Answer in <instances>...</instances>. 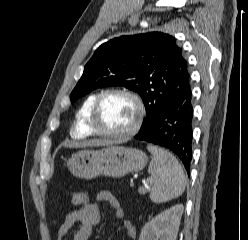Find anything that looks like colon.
Returning <instances> with one entry per match:
<instances>
[{
	"label": "colon",
	"mask_w": 248,
	"mask_h": 240,
	"mask_svg": "<svg viewBox=\"0 0 248 240\" xmlns=\"http://www.w3.org/2000/svg\"><path fill=\"white\" fill-rule=\"evenodd\" d=\"M88 201H89L88 194L84 191L76 192L75 194H73L71 198V204L76 208L87 204Z\"/></svg>",
	"instance_id": "colon-1"
}]
</instances>
